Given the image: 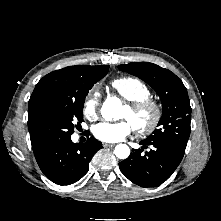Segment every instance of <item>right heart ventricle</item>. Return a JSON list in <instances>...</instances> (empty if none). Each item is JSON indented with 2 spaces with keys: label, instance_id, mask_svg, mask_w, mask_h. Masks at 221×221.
<instances>
[{
  "label": "right heart ventricle",
  "instance_id": "e07e8e85",
  "mask_svg": "<svg viewBox=\"0 0 221 221\" xmlns=\"http://www.w3.org/2000/svg\"><path fill=\"white\" fill-rule=\"evenodd\" d=\"M111 88L129 102L138 101L150 96L151 91L146 83L135 77H119L110 83Z\"/></svg>",
  "mask_w": 221,
  "mask_h": 221
}]
</instances>
